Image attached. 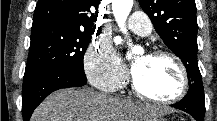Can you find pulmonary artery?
I'll list each match as a JSON object with an SVG mask.
<instances>
[{
    "label": "pulmonary artery",
    "mask_w": 217,
    "mask_h": 121,
    "mask_svg": "<svg viewBox=\"0 0 217 121\" xmlns=\"http://www.w3.org/2000/svg\"><path fill=\"white\" fill-rule=\"evenodd\" d=\"M128 27L135 33L146 36L152 32V23L143 12H134L128 19Z\"/></svg>",
    "instance_id": "1"
}]
</instances>
